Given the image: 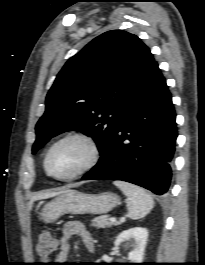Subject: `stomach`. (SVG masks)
Masks as SVG:
<instances>
[{"label": "stomach", "mask_w": 205, "mask_h": 265, "mask_svg": "<svg viewBox=\"0 0 205 265\" xmlns=\"http://www.w3.org/2000/svg\"><path fill=\"white\" fill-rule=\"evenodd\" d=\"M118 204L119 197L110 192L87 194L70 191L45 204L40 216L45 223H53L64 214H104Z\"/></svg>", "instance_id": "1"}]
</instances>
